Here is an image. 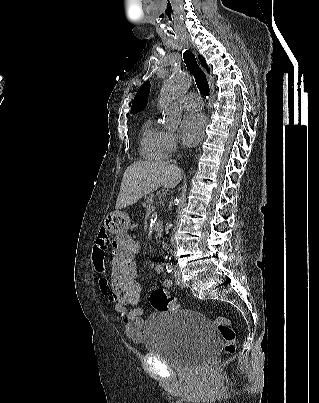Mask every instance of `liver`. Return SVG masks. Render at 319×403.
<instances>
[{"label":"liver","mask_w":319,"mask_h":403,"mask_svg":"<svg viewBox=\"0 0 319 403\" xmlns=\"http://www.w3.org/2000/svg\"><path fill=\"white\" fill-rule=\"evenodd\" d=\"M181 170L167 161H135L122 178L116 210L135 204L159 187L174 188L181 180Z\"/></svg>","instance_id":"obj_1"}]
</instances>
